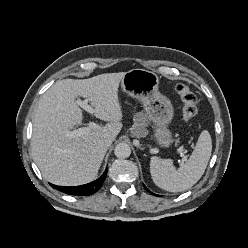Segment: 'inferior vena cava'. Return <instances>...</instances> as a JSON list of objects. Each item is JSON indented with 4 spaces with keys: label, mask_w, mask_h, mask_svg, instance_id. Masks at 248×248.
Segmentation results:
<instances>
[{
    "label": "inferior vena cava",
    "mask_w": 248,
    "mask_h": 248,
    "mask_svg": "<svg viewBox=\"0 0 248 248\" xmlns=\"http://www.w3.org/2000/svg\"><path fill=\"white\" fill-rule=\"evenodd\" d=\"M112 142L113 141L110 138H103V139L99 140L98 144L101 148L107 149L111 146Z\"/></svg>",
    "instance_id": "inferior-vena-cava-1"
}]
</instances>
